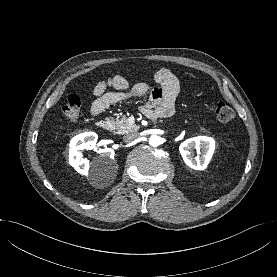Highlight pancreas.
<instances>
[{
    "label": "pancreas",
    "mask_w": 277,
    "mask_h": 277,
    "mask_svg": "<svg viewBox=\"0 0 277 277\" xmlns=\"http://www.w3.org/2000/svg\"><path fill=\"white\" fill-rule=\"evenodd\" d=\"M113 124V129L116 130L118 134H125L131 131L138 130V127L130 125L126 116L117 117L111 120Z\"/></svg>",
    "instance_id": "1"
}]
</instances>
